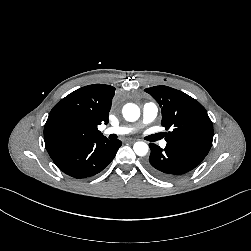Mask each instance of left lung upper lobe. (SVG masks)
<instances>
[{"label":"left lung upper lobe","mask_w":251,"mask_h":251,"mask_svg":"<svg viewBox=\"0 0 251 251\" xmlns=\"http://www.w3.org/2000/svg\"><path fill=\"white\" fill-rule=\"evenodd\" d=\"M162 108L161 124L167 144L179 145L208 154L213 140V125L205 108L182 91L168 86L145 89Z\"/></svg>","instance_id":"obj_1"}]
</instances>
